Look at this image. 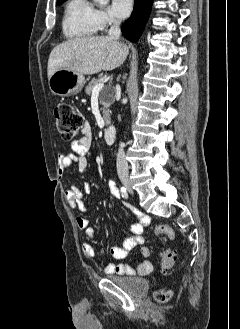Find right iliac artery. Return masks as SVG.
<instances>
[{
	"label": "right iliac artery",
	"mask_w": 240,
	"mask_h": 329,
	"mask_svg": "<svg viewBox=\"0 0 240 329\" xmlns=\"http://www.w3.org/2000/svg\"><path fill=\"white\" fill-rule=\"evenodd\" d=\"M120 192L123 198L127 199L128 198V193L126 191V188H124L123 186L120 187Z\"/></svg>",
	"instance_id": "obj_1"
}]
</instances>
